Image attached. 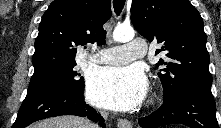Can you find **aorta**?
I'll list each match as a JSON object with an SVG mask.
<instances>
[{"mask_svg":"<svg viewBox=\"0 0 221 128\" xmlns=\"http://www.w3.org/2000/svg\"><path fill=\"white\" fill-rule=\"evenodd\" d=\"M135 32L130 26L118 25L113 31V40L120 43L131 41Z\"/></svg>","mask_w":221,"mask_h":128,"instance_id":"obj_1","label":"aorta"}]
</instances>
